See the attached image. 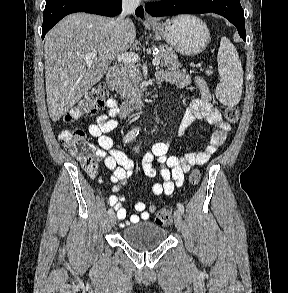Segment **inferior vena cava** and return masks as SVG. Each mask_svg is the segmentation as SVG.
<instances>
[{"instance_id": "602c4592", "label": "inferior vena cava", "mask_w": 288, "mask_h": 293, "mask_svg": "<svg viewBox=\"0 0 288 293\" xmlns=\"http://www.w3.org/2000/svg\"><path fill=\"white\" fill-rule=\"evenodd\" d=\"M140 4V0H122V12L116 19V25L123 27L125 16L132 13Z\"/></svg>"}]
</instances>
